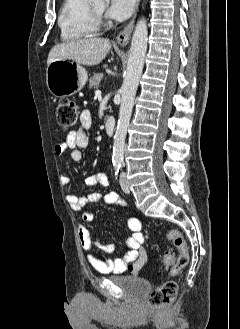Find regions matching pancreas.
Wrapping results in <instances>:
<instances>
[{
    "label": "pancreas",
    "mask_w": 240,
    "mask_h": 329,
    "mask_svg": "<svg viewBox=\"0 0 240 329\" xmlns=\"http://www.w3.org/2000/svg\"><path fill=\"white\" fill-rule=\"evenodd\" d=\"M103 78L102 73H96L89 79V87L90 88H97L100 85V82Z\"/></svg>",
    "instance_id": "pancreas-1"
}]
</instances>
